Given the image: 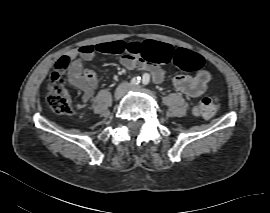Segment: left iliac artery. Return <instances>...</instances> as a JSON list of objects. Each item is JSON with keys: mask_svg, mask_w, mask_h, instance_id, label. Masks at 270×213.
<instances>
[{"mask_svg": "<svg viewBox=\"0 0 270 213\" xmlns=\"http://www.w3.org/2000/svg\"><path fill=\"white\" fill-rule=\"evenodd\" d=\"M150 82V75L148 73H145L142 77V83L144 85H148Z\"/></svg>", "mask_w": 270, "mask_h": 213, "instance_id": "left-iliac-artery-1", "label": "left iliac artery"}]
</instances>
